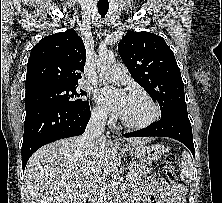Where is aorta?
<instances>
[{
  "mask_svg": "<svg viewBox=\"0 0 222 203\" xmlns=\"http://www.w3.org/2000/svg\"><path fill=\"white\" fill-rule=\"evenodd\" d=\"M115 62V56L113 53L103 52L99 54L97 60V70L100 73H105L111 65ZM122 198L120 195H116L114 198V203H121Z\"/></svg>",
  "mask_w": 222,
  "mask_h": 203,
  "instance_id": "obj_1",
  "label": "aorta"
}]
</instances>
